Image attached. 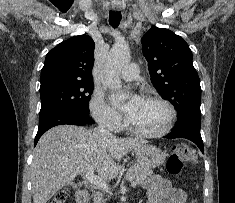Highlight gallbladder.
Returning <instances> with one entry per match:
<instances>
[{
    "label": "gallbladder",
    "instance_id": "gallbladder-1",
    "mask_svg": "<svg viewBox=\"0 0 235 203\" xmlns=\"http://www.w3.org/2000/svg\"><path fill=\"white\" fill-rule=\"evenodd\" d=\"M72 186L76 188V187H77V184H75V183H72Z\"/></svg>",
    "mask_w": 235,
    "mask_h": 203
}]
</instances>
